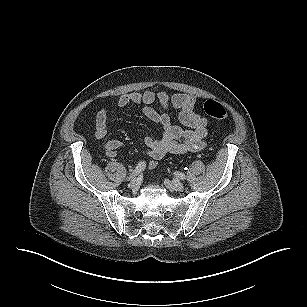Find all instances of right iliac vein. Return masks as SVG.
<instances>
[{"instance_id":"63e3f726","label":"right iliac vein","mask_w":307,"mask_h":307,"mask_svg":"<svg viewBox=\"0 0 307 307\" xmlns=\"http://www.w3.org/2000/svg\"><path fill=\"white\" fill-rule=\"evenodd\" d=\"M128 187L130 189H137L139 187V183L137 179H133L129 184Z\"/></svg>"}]
</instances>
